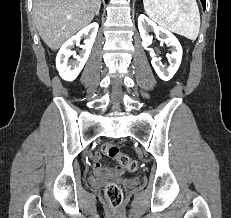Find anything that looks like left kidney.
<instances>
[{
    "mask_svg": "<svg viewBox=\"0 0 231 218\" xmlns=\"http://www.w3.org/2000/svg\"><path fill=\"white\" fill-rule=\"evenodd\" d=\"M138 29L145 45L149 46L152 43V37L149 36L148 32L153 30L157 36L162 38L163 42L171 46L172 52L168 57L170 66L167 69L158 63L152 49H150L151 63L157 75L165 81L171 79L178 70L182 59V47L178 39L169 30L158 26L144 14L138 17Z\"/></svg>",
    "mask_w": 231,
    "mask_h": 218,
    "instance_id": "5707ae66",
    "label": "left kidney"
}]
</instances>
